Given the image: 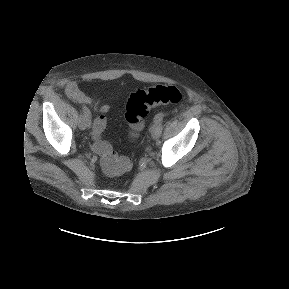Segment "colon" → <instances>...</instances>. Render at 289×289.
<instances>
[{
    "label": "colon",
    "instance_id": "1",
    "mask_svg": "<svg viewBox=\"0 0 289 289\" xmlns=\"http://www.w3.org/2000/svg\"><path fill=\"white\" fill-rule=\"evenodd\" d=\"M182 94L175 86L156 85L132 92L125 105V119L132 130L129 135L133 139L135 133L143 127L144 118L151 108L161 104H177L181 101ZM107 126L104 116H99L93 124L94 151L100 158L103 171L108 175H120L131 169V161L124 156H119L111 145L100 138Z\"/></svg>",
    "mask_w": 289,
    "mask_h": 289
}]
</instances>
